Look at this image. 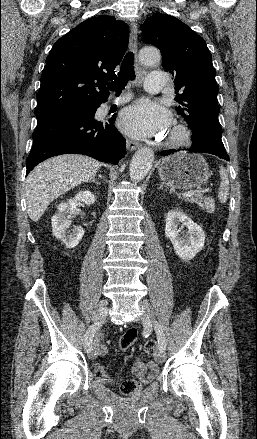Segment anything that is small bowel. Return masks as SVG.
Masks as SVG:
<instances>
[{
  "mask_svg": "<svg viewBox=\"0 0 257 439\" xmlns=\"http://www.w3.org/2000/svg\"><path fill=\"white\" fill-rule=\"evenodd\" d=\"M106 352V347L102 340H97V355H103ZM132 373L139 379L142 384H148L154 380L158 374V366L154 362L148 364L140 359H136L132 365Z\"/></svg>",
  "mask_w": 257,
  "mask_h": 439,
  "instance_id": "c3829d8e",
  "label": "small bowel"
}]
</instances>
